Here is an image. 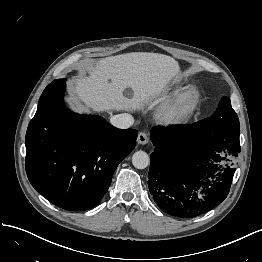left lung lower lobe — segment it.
Returning a JSON list of instances; mask_svg holds the SVG:
<instances>
[{
	"label": "left lung lower lobe",
	"mask_w": 262,
	"mask_h": 262,
	"mask_svg": "<svg viewBox=\"0 0 262 262\" xmlns=\"http://www.w3.org/2000/svg\"><path fill=\"white\" fill-rule=\"evenodd\" d=\"M149 191L166 213L193 218L228 195L240 152L239 131L212 133L192 125L154 127Z\"/></svg>",
	"instance_id": "0a47b994"
}]
</instances>
